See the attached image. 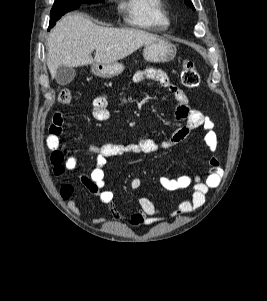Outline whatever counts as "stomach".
Wrapping results in <instances>:
<instances>
[{"label": "stomach", "mask_w": 267, "mask_h": 301, "mask_svg": "<svg viewBox=\"0 0 267 301\" xmlns=\"http://www.w3.org/2000/svg\"><path fill=\"white\" fill-rule=\"evenodd\" d=\"M176 46L169 40L159 38L158 40L145 44L143 57L152 63L172 61L176 55ZM124 70L122 63L114 62L110 64H94L92 73L100 78H112L119 75Z\"/></svg>", "instance_id": "obj_1"}]
</instances>
